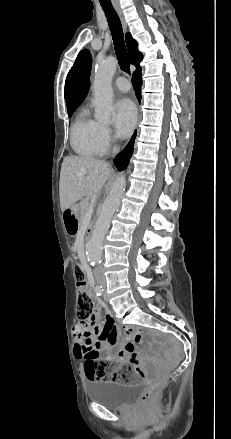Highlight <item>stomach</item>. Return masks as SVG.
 <instances>
[{
	"label": "stomach",
	"mask_w": 231,
	"mask_h": 439,
	"mask_svg": "<svg viewBox=\"0 0 231 439\" xmlns=\"http://www.w3.org/2000/svg\"><path fill=\"white\" fill-rule=\"evenodd\" d=\"M68 209H70V208H68ZM68 209H66L64 211V214L66 215V218L64 220V227H65V230L67 231V233L72 235V234H75V232H76L77 224L71 222L70 219L67 217V214H69Z\"/></svg>",
	"instance_id": "1"
}]
</instances>
